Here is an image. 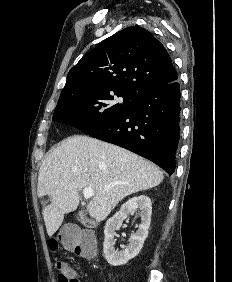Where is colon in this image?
<instances>
[{
  "mask_svg": "<svg viewBox=\"0 0 232 282\" xmlns=\"http://www.w3.org/2000/svg\"><path fill=\"white\" fill-rule=\"evenodd\" d=\"M49 245L52 250L63 247L87 259L95 255V245L92 235L84 231H76L74 229L65 230L52 238ZM55 267L58 271V282H79V279L72 274V269L65 262L57 260Z\"/></svg>",
  "mask_w": 232,
  "mask_h": 282,
  "instance_id": "1",
  "label": "colon"
}]
</instances>
